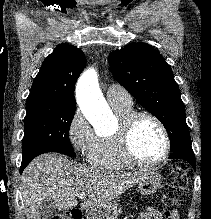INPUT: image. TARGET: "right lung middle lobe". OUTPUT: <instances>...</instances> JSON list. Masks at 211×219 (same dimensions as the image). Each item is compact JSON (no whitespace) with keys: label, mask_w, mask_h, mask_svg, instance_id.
<instances>
[{"label":"right lung middle lobe","mask_w":211,"mask_h":219,"mask_svg":"<svg viewBox=\"0 0 211 219\" xmlns=\"http://www.w3.org/2000/svg\"><path fill=\"white\" fill-rule=\"evenodd\" d=\"M74 113V107H60L43 101L27 103L22 160L46 152L76 157L69 140V128Z\"/></svg>","instance_id":"right-lung-middle-lobe-1"}]
</instances>
